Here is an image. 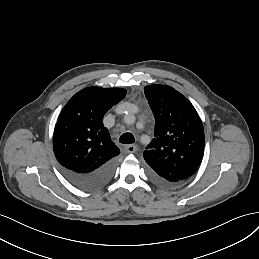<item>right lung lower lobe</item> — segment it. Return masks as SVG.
I'll use <instances>...</instances> for the list:
<instances>
[{
	"label": "right lung lower lobe",
	"instance_id": "right-lung-lower-lobe-1",
	"mask_svg": "<svg viewBox=\"0 0 259 259\" xmlns=\"http://www.w3.org/2000/svg\"><path fill=\"white\" fill-rule=\"evenodd\" d=\"M116 166V159H112L94 171L86 173L74 172L62 168L64 176L74 185L82 189H94L105 184L112 176Z\"/></svg>",
	"mask_w": 259,
	"mask_h": 259
}]
</instances>
